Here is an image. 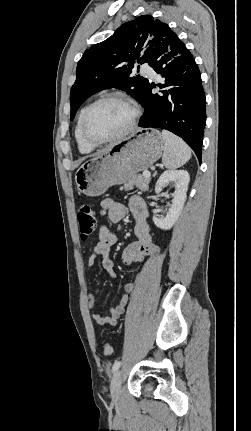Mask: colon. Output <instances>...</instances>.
<instances>
[{
	"label": "colon",
	"mask_w": 251,
	"mask_h": 431,
	"mask_svg": "<svg viewBox=\"0 0 251 431\" xmlns=\"http://www.w3.org/2000/svg\"><path fill=\"white\" fill-rule=\"evenodd\" d=\"M77 219L79 224L80 236L83 240L88 239L96 228V216L92 207L88 204H83L79 207L77 212ZM112 347L110 344L105 343L103 346V353L105 356L112 354Z\"/></svg>",
	"instance_id": "5ec220e1"
}]
</instances>
